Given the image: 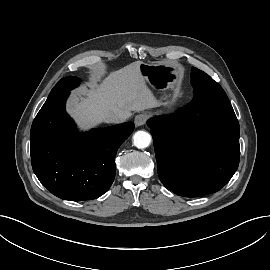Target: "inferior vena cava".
I'll return each instance as SVG.
<instances>
[{
	"label": "inferior vena cava",
	"instance_id": "1",
	"mask_svg": "<svg viewBox=\"0 0 270 270\" xmlns=\"http://www.w3.org/2000/svg\"><path fill=\"white\" fill-rule=\"evenodd\" d=\"M128 117L129 115L127 113L115 111L107 114L106 121L109 123L119 124L125 122Z\"/></svg>",
	"mask_w": 270,
	"mask_h": 270
}]
</instances>
